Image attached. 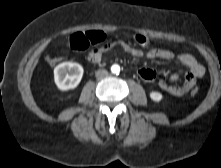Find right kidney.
Wrapping results in <instances>:
<instances>
[{"instance_id":"obj_1","label":"right kidney","mask_w":221,"mask_h":168,"mask_svg":"<svg viewBox=\"0 0 221 168\" xmlns=\"http://www.w3.org/2000/svg\"><path fill=\"white\" fill-rule=\"evenodd\" d=\"M83 67L74 62H63L54 69V81L58 89L67 91L76 88L83 76Z\"/></svg>"}]
</instances>
